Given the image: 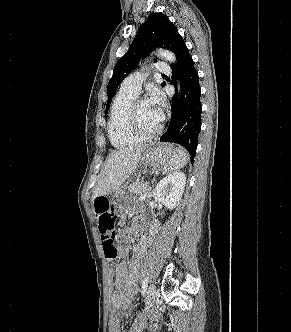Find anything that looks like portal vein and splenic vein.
Masks as SVG:
<instances>
[{
  "instance_id": "portal-vein-and-splenic-vein-1",
  "label": "portal vein and splenic vein",
  "mask_w": 291,
  "mask_h": 332,
  "mask_svg": "<svg viewBox=\"0 0 291 332\" xmlns=\"http://www.w3.org/2000/svg\"><path fill=\"white\" fill-rule=\"evenodd\" d=\"M144 196H145V195H144ZM140 199H141V200H144V199H145V197L141 196V197H140Z\"/></svg>"
}]
</instances>
